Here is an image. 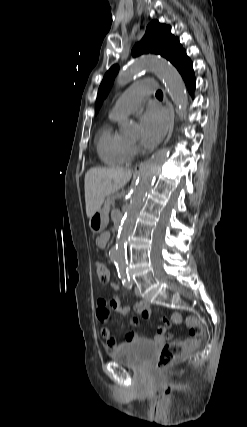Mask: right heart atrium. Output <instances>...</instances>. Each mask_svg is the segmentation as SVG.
I'll return each instance as SVG.
<instances>
[{
	"label": "right heart atrium",
	"instance_id": "right-heart-atrium-1",
	"mask_svg": "<svg viewBox=\"0 0 247 427\" xmlns=\"http://www.w3.org/2000/svg\"><path fill=\"white\" fill-rule=\"evenodd\" d=\"M132 148V151H134L135 150V148L134 147H131Z\"/></svg>",
	"mask_w": 247,
	"mask_h": 427
}]
</instances>
